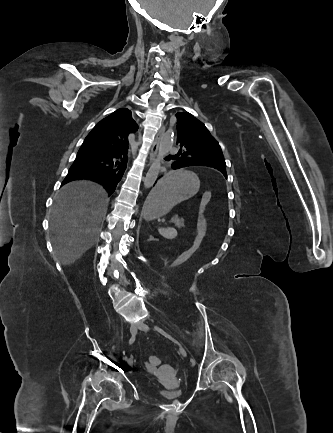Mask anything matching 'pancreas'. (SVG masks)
Segmentation results:
<instances>
[{"label": "pancreas", "mask_w": 333, "mask_h": 433, "mask_svg": "<svg viewBox=\"0 0 333 433\" xmlns=\"http://www.w3.org/2000/svg\"><path fill=\"white\" fill-rule=\"evenodd\" d=\"M171 222L175 224V222H178V225H176L178 228H181L184 226V221L182 219H179L177 216H174L171 219Z\"/></svg>", "instance_id": "pancreas-1"}]
</instances>
